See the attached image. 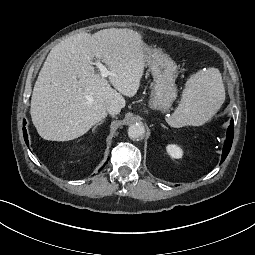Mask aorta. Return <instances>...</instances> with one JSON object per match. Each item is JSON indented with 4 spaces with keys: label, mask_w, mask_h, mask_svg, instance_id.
<instances>
[{
    "label": "aorta",
    "mask_w": 255,
    "mask_h": 255,
    "mask_svg": "<svg viewBox=\"0 0 255 255\" xmlns=\"http://www.w3.org/2000/svg\"><path fill=\"white\" fill-rule=\"evenodd\" d=\"M144 134L145 127L140 123L132 124L128 128V136L131 139H140L144 136Z\"/></svg>",
    "instance_id": "aorta-1"
}]
</instances>
